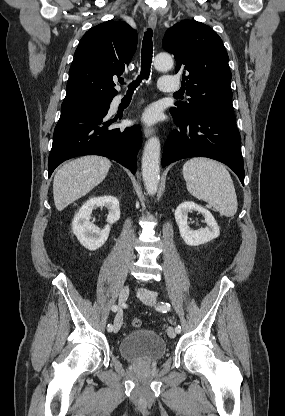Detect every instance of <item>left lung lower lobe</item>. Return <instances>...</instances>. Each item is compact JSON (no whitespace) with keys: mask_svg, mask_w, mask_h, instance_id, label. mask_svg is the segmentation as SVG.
Returning <instances> with one entry per match:
<instances>
[{"mask_svg":"<svg viewBox=\"0 0 285 416\" xmlns=\"http://www.w3.org/2000/svg\"><path fill=\"white\" fill-rule=\"evenodd\" d=\"M162 156V167L189 157H208L225 163L244 185L241 137L234 113L204 112L186 121L174 119Z\"/></svg>","mask_w":285,"mask_h":416,"instance_id":"0a47b994","label":"left lung lower lobe"}]
</instances>
